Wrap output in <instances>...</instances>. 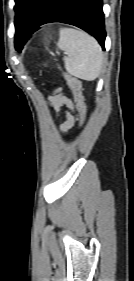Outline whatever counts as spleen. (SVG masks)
Returning <instances> with one entry per match:
<instances>
[{
    "label": "spleen",
    "mask_w": 134,
    "mask_h": 281,
    "mask_svg": "<svg viewBox=\"0 0 134 281\" xmlns=\"http://www.w3.org/2000/svg\"><path fill=\"white\" fill-rule=\"evenodd\" d=\"M59 36L57 46L67 54L63 58L66 71L82 80H95L103 62L98 42L84 31L72 28H61Z\"/></svg>",
    "instance_id": "obj_1"
}]
</instances>
